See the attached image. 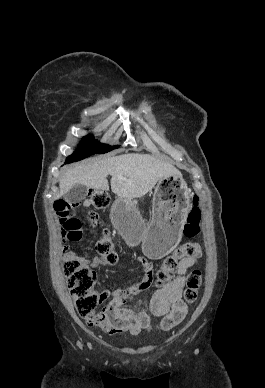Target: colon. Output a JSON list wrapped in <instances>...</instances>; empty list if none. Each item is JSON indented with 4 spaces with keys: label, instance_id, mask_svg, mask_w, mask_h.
I'll return each instance as SVG.
<instances>
[{
    "label": "colon",
    "instance_id": "obj_1",
    "mask_svg": "<svg viewBox=\"0 0 265 388\" xmlns=\"http://www.w3.org/2000/svg\"><path fill=\"white\" fill-rule=\"evenodd\" d=\"M109 195L104 191L90 193L91 204L98 209H103L109 204ZM194 207L191 209L184 225V235L188 238L197 236L200 231L201 211L198 208V198H193ZM56 214L62 225L63 239L68 243L77 242L82 236V224L72 215L73 205L67 201H57L54 205ZM97 250L106 265H113L118 261V255L109 230H105L103 237L97 244ZM201 247L197 243H185L179 246L172 254L165 257L156 273V285L164 287L171 280L172 275L178 270L183 259L198 258ZM64 272L68 288L74 299L79 315L93 325H100L104 315L96 308L100 303V295L96 290V273L77 257H70L64 262ZM202 285V276L199 270L192 271L187 278L184 291V301L192 304L197 300L199 289Z\"/></svg>",
    "mask_w": 265,
    "mask_h": 388
}]
</instances>
